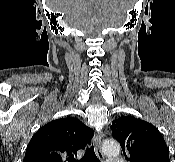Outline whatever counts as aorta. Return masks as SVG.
<instances>
[{
  "label": "aorta",
  "instance_id": "762f6f07",
  "mask_svg": "<svg viewBox=\"0 0 175 162\" xmlns=\"http://www.w3.org/2000/svg\"><path fill=\"white\" fill-rule=\"evenodd\" d=\"M102 151L109 157H115L120 154L121 148L117 141L108 139L103 142Z\"/></svg>",
  "mask_w": 175,
  "mask_h": 162
}]
</instances>
